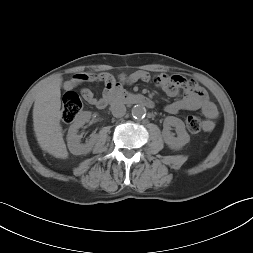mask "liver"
<instances>
[{
	"label": "liver",
	"instance_id": "obj_1",
	"mask_svg": "<svg viewBox=\"0 0 253 253\" xmlns=\"http://www.w3.org/2000/svg\"><path fill=\"white\" fill-rule=\"evenodd\" d=\"M62 78L57 77L37 92L33 107V126L39 146L56 158H68L60 120Z\"/></svg>",
	"mask_w": 253,
	"mask_h": 253
}]
</instances>
